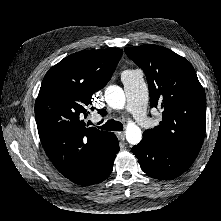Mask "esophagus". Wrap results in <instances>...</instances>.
Segmentation results:
<instances>
[{"label":"esophagus","mask_w":221,"mask_h":221,"mask_svg":"<svg viewBox=\"0 0 221 221\" xmlns=\"http://www.w3.org/2000/svg\"><path fill=\"white\" fill-rule=\"evenodd\" d=\"M116 135L119 140L124 141L125 140V134L124 132H116Z\"/></svg>","instance_id":"1"}]
</instances>
